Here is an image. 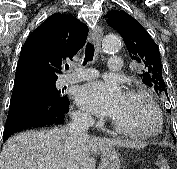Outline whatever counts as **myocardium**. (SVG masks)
I'll return each mask as SVG.
<instances>
[{"mask_svg": "<svg viewBox=\"0 0 177 169\" xmlns=\"http://www.w3.org/2000/svg\"><path fill=\"white\" fill-rule=\"evenodd\" d=\"M125 95L130 96V97H140L144 99L147 102V104L150 106V108L153 110V112L155 113L157 125L155 129L151 131L132 132V131L125 129L120 124H118L115 120L112 119L111 124L113 128L115 129V131L124 136L140 138V139H148V138H152V137L159 135L162 132L163 126H164L163 114L159 106L150 96V94L143 89L130 88L126 90Z\"/></svg>", "mask_w": 177, "mask_h": 169, "instance_id": "obj_1", "label": "myocardium"}]
</instances>
